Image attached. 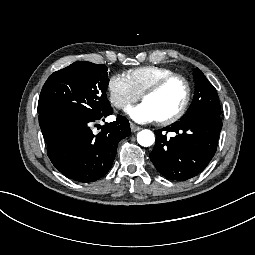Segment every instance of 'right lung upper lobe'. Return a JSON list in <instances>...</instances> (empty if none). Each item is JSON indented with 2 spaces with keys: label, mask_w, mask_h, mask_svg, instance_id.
<instances>
[{
  "label": "right lung upper lobe",
  "mask_w": 255,
  "mask_h": 255,
  "mask_svg": "<svg viewBox=\"0 0 255 255\" xmlns=\"http://www.w3.org/2000/svg\"><path fill=\"white\" fill-rule=\"evenodd\" d=\"M51 133H52V130L45 131V132H44V137H45V138L50 137Z\"/></svg>",
  "instance_id": "cb5924a9"
}]
</instances>
